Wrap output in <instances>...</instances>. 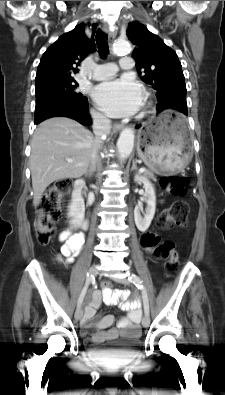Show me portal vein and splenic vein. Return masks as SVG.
<instances>
[{"label":"portal vein and splenic vein","instance_id":"18ae733b","mask_svg":"<svg viewBox=\"0 0 225 395\" xmlns=\"http://www.w3.org/2000/svg\"><path fill=\"white\" fill-rule=\"evenodd\" d=\"M67 161H68V162H72L71 159H67ZM145 171H146V168H144V167H142V168L139 169V172H140V173H143V172H145Z\"/></svg>","mask_w":225,"mask_h":395}]
</instances>
